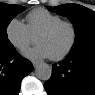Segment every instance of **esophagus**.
Returning a JSON list of instances; mask_svg holds the SVG:
<instances>
[{
    "mask_svg": "<svg viewBox=\"0 0 95 95\" xmlns=\"http://www.w3.org/2000/svg\"><path fill=\"white\" fill-rule=\"evenodd\" d=\"M32 63H33V66L36 68L37 66H38V64H39V62L38 61H32Z\"/></svg>",
    "mask_w": 95,
    "mask_h": 95,
    "instance_id": "1",
    "label": "esophagus"
}]
</instances>
